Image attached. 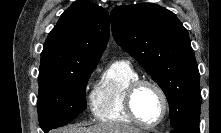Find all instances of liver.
<instances>
[{"mask_svg": "<svg viewBox=\"0 0 221 133\" xmlns=\"http://www.w3.org/2000/svg\"><path fill=\"white\" fill-rule=\"evenodd\" d=\"M54 133H142L140 129L117 123H100L90 127L79 125L60 128Z\"/></svg>", "mask_w": 221, "mask_h": 133, "instance_id": "liver-1", "label": "liver"}]
</instances>
